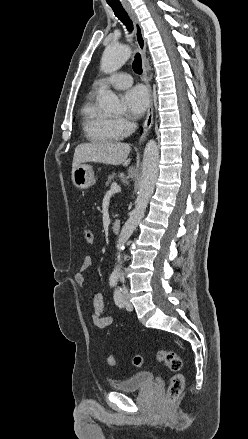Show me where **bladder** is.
Wrapping results in <instances>:
<instances>
[{
	"instance_id": "bladder-1",
	"label": "bladder",
	"mask_w": 248,
	"mask_h": 439,
	"mask_svg": "<svg viewBox=\"0 0 248 439\" xmlns=\"http://www.w3.org/2000/svg\"><path fill=\"white\" fill-rule=\"evenodd\" d=\"M153 374L150 371H139L131 376L111 381V387L119 392H135L153 384Z\"/></svg>"
}]
</instances>
